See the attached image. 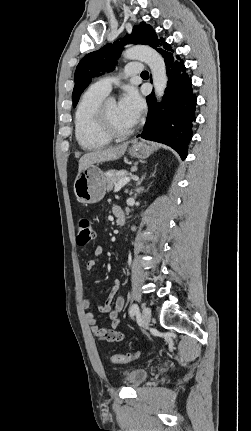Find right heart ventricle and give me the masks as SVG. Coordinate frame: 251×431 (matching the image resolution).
I'll return each instance as SVG.
<instances>
[{
	"label": "right heart ventricle",
	"mask_w": 251,
	"mask_h": 431,
	"mask_svg": "<svg viewBox=\"0 0 251 431\" xmlns=\"http://www.w3.org/2000/svg\"><path fill=\"white\" fill-rule=\"evenodd\" d=\"M106 96V93L91 86L83 93L77 105L74 118L75 137L84 150L99 149L111 142L97 127V111Z\"/></svg>",
	"instance_id": "right-heart-ventricle-1"
}]
</instances>
